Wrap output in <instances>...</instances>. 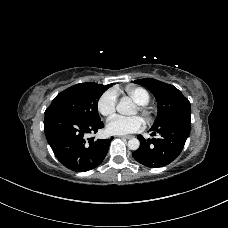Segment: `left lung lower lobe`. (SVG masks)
Segmentation results:
<instances>
[{
    "mask_svg": "<svg viewBox=\"0 0 228 228\" xmlns=\"http://www.w3.org/2000/svg\"><path fill=\"white\" fill-rule=\"evenodd\" d=\"M182 121L181 127L175 125V118ZM191 113L179 114L159 126L151 128L155 136L152 139H144L141 135L140 147L132 153L134 159L150 168L163 167L174 161L181 153L190 134Z\"/></svg>",
    "mask_w": 228,
    "mask_h": 228,
    "instance_id": "1",
    "label": "left lung lower lobe"
}]
</instances>
